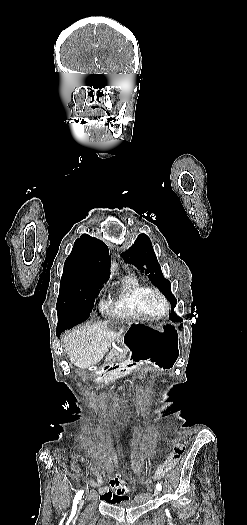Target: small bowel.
Wrapping results in <instances>:
<instances>
[{
  "mask_svg": "<svg viewBox=\"0 0 247 525\" xmlns=\"http://www.w3.org/2000/svg\"><path fill=\"white\" fill-rule=\"evenodd\" d=\"M182 451H183V446L181 444H178L175 450L169 455L167 460L163 462L157 468V470L154 472V474L150 478L147 479V482H151L153 480L160 479L169 470H171L175 466V464L178 462ZM80 459L82 462H86L85 457L82 456ZM123 463H124L123 461H119L117 464V467ZM89 470L96 474L97 476L96 480H91L85 476L80 475L82 481L91 486L99 487V490L102 493V498L105 501H107L109 506H124L126 499L123 494V486L121 485V482H120V474L118 472H116L115 475L102 474L99 472L97 468L93 466H89ZM106 481H108L110 484V487L115 490L114 492L104 486V483Z\"/></svg>",
  "mask_w": 247,
  "mask_h": 525,
  "instance_id": "small-bowel-1",
  "label": "small bowel"
}]
</instances>
